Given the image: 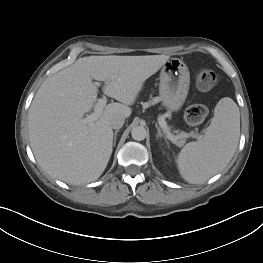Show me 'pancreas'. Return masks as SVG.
I'll return each instance as SVG.
<instances>
[{
    "label": "pancreas",
    "mask_w": 263,
    "mask_h": 263,
    "mask_svg": "<svg viewBox=\"0 0 263 263\" xmlns=\"http://www.w3.org/2000/svg\"><path fill=\"white\" fill-rule=\"evenodd\" d=\"M189 137V134L185 133V132H179L177 135H176V142L175 144H177L178 146H182L185 142H186V138Z\"/></svg>",
    "instance_id": "pancreas-1"
}]
</instances>
